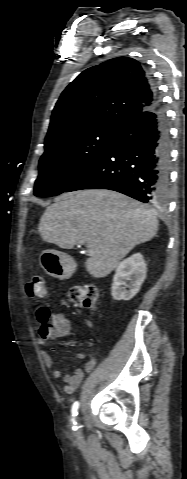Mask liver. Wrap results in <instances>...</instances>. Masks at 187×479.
<instances>
[{
	"mask_svg": "<svg viewBox=\"0 0 187 479\" xmlns=\"http://www.w3.org/2000/svg\"><path fill=\"white\" fill-rule=\"evenodd\" d=\"M159 222L154 211L115 191L92 189L64 194L42 215L43 241L72 249L84 241L86 269L95 278L110 274L136 246L154 238Z\"/></svg>",
	"mask_w": 187,
	"mask_h": 479,
	"instance_id": "6515ba94",
	"label": "liver"
}]
</instances>
